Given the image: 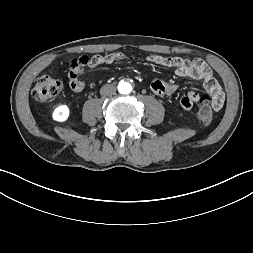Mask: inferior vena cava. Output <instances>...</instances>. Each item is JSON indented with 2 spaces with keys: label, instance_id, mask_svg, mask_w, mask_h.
<instances>
[{
  "label": "inferior vena cava",
  "instance_id": "inferior-vena-cava-1",
  "mask_svg": "<svg viewBox=\"0 0 253 253\" xmlns=\"http://www.w3.org/2000/svg\"><path fill=\"white\" fill-rule=\"evenodd\" d=\"M116 92V87L112 84H106L101 87L100 94L102 96H112Z\"/></svg>",
  "mask_w": 253,
  "mask_h": 253
}]
</instances>
